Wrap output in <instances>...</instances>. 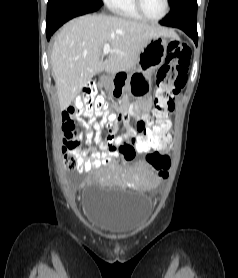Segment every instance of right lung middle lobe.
<instances>
[{
  "label": "right lung middle lobe",
  "mask_w": 238,
  "mask_h": 278,
  "mask_svg": "<svg viewBox=\"0 0 238 278\" xmlns=\"http://www.w3.org/2000/svg\"><path fill=\"white\" fill-rule=\"evenodd\" d=\"M90 1H93V2H96V3H99V4H102V0H90Z\"/></svg>",
  "instance_id": "obj_1"
}]
</instances>
